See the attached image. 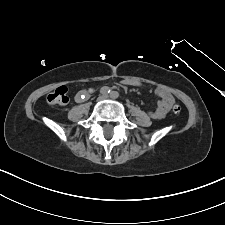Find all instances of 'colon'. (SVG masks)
<instances>
[{"label":"colon","mask_w":225,"mask_h":225,"mask_svg":"<svg viewBox=\"0 0 225 225\" xmlns=\"http://www.w3.org/2000/svg\"><path fill=\"white\" fill-rule=\"evenodd\" d=\"M47 101L50 104H67L69 101L67 87L64 85L57 87L52 93L48 95ZM172 110L175 114H179L182 109L180 105L176 104L173 106Z\"/></svg>","instance_id":"5ec220e1"}]
</instances>
